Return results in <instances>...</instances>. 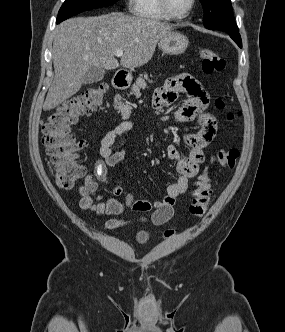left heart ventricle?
<instances>
[{"label":"left heart ventricle","mask_w":285,"mask_h":332,"mask_svg":"<svg viewBox=\"0 0 285 332\" xmlns=\"http://www.w3.org/2000/svg\"><path fill=\"white\" fill-rule=\"evenodd\" d=\"M169 3L174 13L183 14L188 10L191 0H169Z\"/></svg>","instance_id":"obj_1"}]
</instances>
